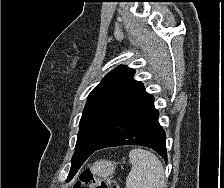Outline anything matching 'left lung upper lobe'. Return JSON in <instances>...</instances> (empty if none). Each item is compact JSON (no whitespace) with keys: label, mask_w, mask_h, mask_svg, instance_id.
<instances>
[{"label":"left lung upper lobe","mask_w":224,"mask_h":188,"mask_svg":"<svg viewBox=\"0 0 224 188\" xmlns=\"http://www.w3.org/2000/svg\"><path fill=\"white\" fill-rule=\"evenodd\" d=\"M134 74V69L119 66L109 72L89 94L80 120L72 162L86 159L123 113L146 93L143 84L133 79ZM76 168L74 166L71 173Z\"/></svg>","instance_id":"1"}]
</instances>
